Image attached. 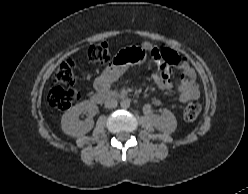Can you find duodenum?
Masks as SVG:
<instances>
[{
	"label": "duodenum",
	"mask_w": 248,
	"mask_h": 194,
	"mask_svg": "<svg viewBox=\"0 0 248 194\" xmlns=\"http://www.w3.org/2000/svg\"><path fill=\"white\" fill-rule=\"evenodd\" d=\"M126 98H127L126 93H119V92L100 91L92 95L93 102L98 103V104H101L108 100L126 99Z\"/></svg>",
	"instance_id": "obj_1"
}]
</instances>
